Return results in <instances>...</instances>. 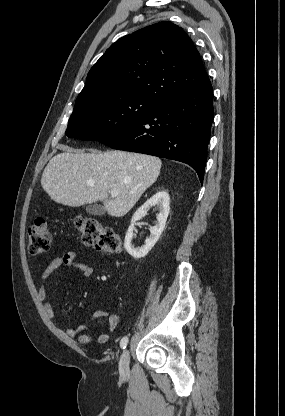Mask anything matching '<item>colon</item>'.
Here are the masks:
<instances>
[{
  "label": "colon",
  "instance_id": "5ec220e1",
  "mask_svg": "<svg viewBox=\"0 0 285 416\" xmlns=\"http://www.w3.org/2000/svg\"><path fill=\"white\" fill-rule=\"evenodd\" d=\"M75 228L81 235L84 244L98 250L118 254L122 251V240L119 234L100 220L93 217H76ZM51 234L44 219L39 218L28 229V250L33 256L46 253L51 247Z\"/></svg>",
  "mask_w": 285,
  "mask_h": 416
}]
</instances>
